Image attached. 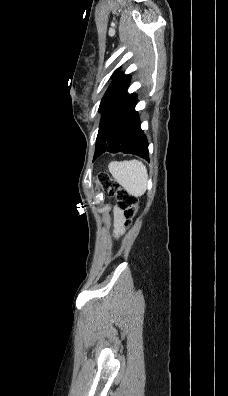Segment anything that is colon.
<instances>
[{
	"label": "colon",
	"instance_id": "1",
	"mask_svg": "<svg viewBox=\"0 0 228 396\" xmlns=\"http://www.w3.org/2000/svg\"><path fill=\"white\" fill-rule=\"evenodd\" d=\"M95 183L100 189L111 196H115L119 207L123 210L128 219L133 218L138 213V200L125 189L121 188L119 183L109 175L100 173L95 177Z\"/></svg>",
	"mask_w": 228,
	"mask_h": 396
}]
</instances>
